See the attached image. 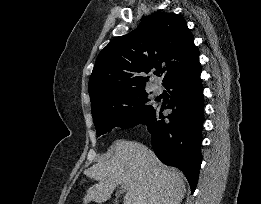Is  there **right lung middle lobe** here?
<instances>
[{
    "mask_svg": "<svg viewBox=\"0 0 261 204\" xmlns=\"http://www.w3.org/2000/svg\"><path fill=\"white\" fill-rule=\"evenodd\" d=\"M148 101L145 90H136L121 94L111 102L92 106L97 136L116 126L132 128L141 123L153 110Z\"/></svg>",
    "mask_w": 261,
    "mask_h": 204,
    "instance_id": "dd1d6c3e",
    "label": "right lung middle lobe"
}]
</instances>
